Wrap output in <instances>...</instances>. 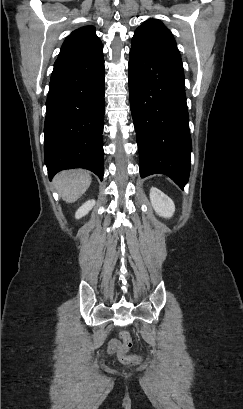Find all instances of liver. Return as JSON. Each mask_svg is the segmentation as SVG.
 I'll list each match as a JSON object with an SVG mask.
<instances>
[{
    "label": "liver",
    "mask_w": 243,
    "mask_h": 409,
    "mask_svg": "<svg viewBox=\"0 0 243 409\" xmlns=\"http://www.w3.org/2000/svg\"><path fill=\"white\" fill-rule=\"evenodd\" d=\"M92 178L83 169L66 170L54 177V185L60 196L67 203L78 200L89 188Z\"/></svg>",
    "instance_id": "obj_1"
}]
</instances>
